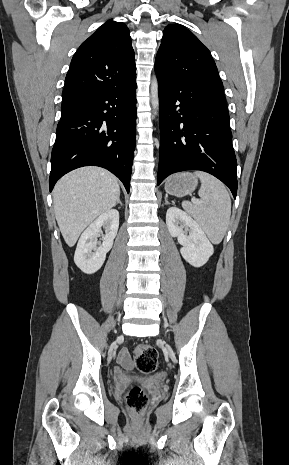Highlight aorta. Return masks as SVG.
Returning a JSON list of instances; mask_svg holds the SVG:
<instances>
[{
  "instance_id": "obj_1",
  "label": "aorta",
  "mask_w": 289,
  "mask_h": 465,
  "mask_svg": "<svg viewBox=\"0 0 289 465\" xmlns=\"http://www.w3.org/2000/svg\"><path fill=\"white\" fill-rule=\"evenodd\" d=\"M151 104L154 113L156 114L159 108L158 81L156 77H154L151 81Z\"/></svg>"
}]
</instances>
